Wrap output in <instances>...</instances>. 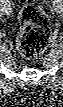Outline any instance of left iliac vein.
I'll return each mask as SVG.
<instances>
[{
  "label": "left iliac vein",
  "mask_w": 63,
  "mask_h": 107,
  "mask_svg": "<svg viewBox=\"0 0 63 107\" xmlns=\"http://www.w3.org/2000/svg\"><path fill=\"white\" fill-rule=\"evenodd\" d=\"M54 6H55V10L57 11V12H61V7L58 5V2H54Z\"/></svg>",
  "instance_id": "1"
}]
</instances>
